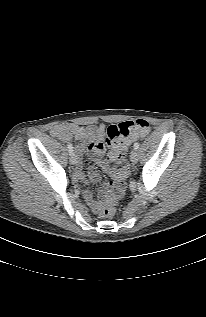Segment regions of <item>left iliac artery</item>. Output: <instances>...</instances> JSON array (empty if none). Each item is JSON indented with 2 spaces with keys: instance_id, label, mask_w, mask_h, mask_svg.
<instances>
[{
  "instance_id": "1",
  "label": "left iliac artery",
  "mask_w": 206,
  "mask_h": 317,
  "mask_svg": "<svg viewBox=\"0 0 206 317\" xmlns=\"http://www.w3.org/2000/svg\"><path fill=\"white\" fill-rule=\"evenodd\" d=\"M139 146H140V144L138 143V142H136V143H134V149H138L139 148Z\"/></svg>"
}]
</instances>
